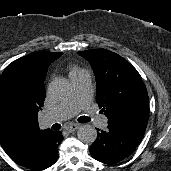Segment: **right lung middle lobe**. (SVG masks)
<instances>
[{
    "instance_id": "dd1d6c3e",
    "label": "right lung middle lobe",
    "mask_w": 171,
    "mask_h": 171,
    "mask_svg": "<svg viewBox=\"0 0 171 171\" xmlns=\"http://www.w3.org/2000/svg\"><path fill=\"white\" fill-rule=\"evenodd\" d=\"M32 118L27 91L14 69H5L0 76V125L8 129L25 126Z\"/></svg>"
}]
</instances>
